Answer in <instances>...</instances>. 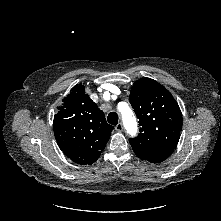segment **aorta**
Masks as SVG:
<instances>
[{"label": "aorta", "instance_id": "1", "mask_svg": "<svg viewBox=\"0 0 221 221\" xmlns=\"http://www.w3.org/2000/svg\"><path fill=\"white\" fill-rule=\"evenodd\" d=\"M121 114L125 128L130 134H134L136 132L137 123L132 110L127 106L124 110H121Z\"/></svg>", "mask_w": 221, "mask_h": 221}]
</instances>
